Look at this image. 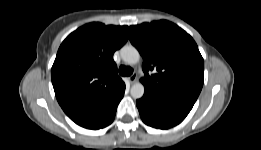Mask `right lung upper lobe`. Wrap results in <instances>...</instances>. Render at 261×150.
<instances>
[{
	"label": "right lung upper lobe",
	"instance_id": "right-lung-upper-lobe-1",
	"mask_svg": "<svg viewBox=\"0 0 261 150\" xmlns=\"http://www.w3.org/2000/svg\"><path fill=\"white\" fill-rule=\"evenodd\" d=\"M128 26L86 24L61 44L51 69L57 100L76 124L96 118L124 95L114 52L127 41Z\"/></svg>",
	"mask_w": 261,
	"mask_h": 150
}]
</instances>
